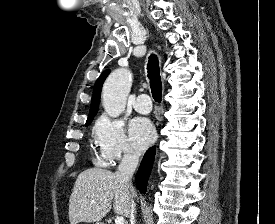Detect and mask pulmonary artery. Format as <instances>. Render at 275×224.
Masks as SVG:
<instances>
[{
  "label": "pulmonary artery",
  "instance_id": "e3ab8cb5",
  "mask_svg": "<svg viewBox=\"0 0 275 224\" xmlns=\"http://www.w3.org/2000/svg\"><path fill=\"white\" fill-rule=\"evenodd\" d=\"M133 106L137 112L147 114L152 109L151 99L147 94H141L136 97Z\"/></svg>",
  "mask_w": 275,
  "mask_h": 224
}]
</instances>
